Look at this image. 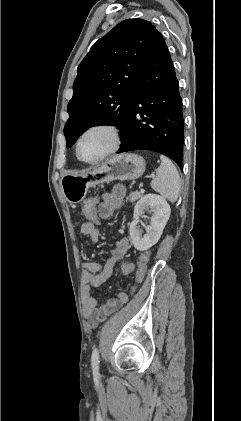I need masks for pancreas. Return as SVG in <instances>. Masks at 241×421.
Here are the masks:
<instances>
[{
	"label": "pancreas",
	"instance_id": "obj_1",
	"mask_svg": "<svg viewBox=\"0 0 241 421\" xmlns=\"http://www.w3.org/2000/svg\"><path fill=\"white\" fill-rule=\"evenodd\" d=\"M142 197V194L140 192H131L129 194V201L130 202H135L136 200H138L139 198Z\"/></svg>",
	"mask_w": 241,
	"mask_h": 421
}]
</instances>
